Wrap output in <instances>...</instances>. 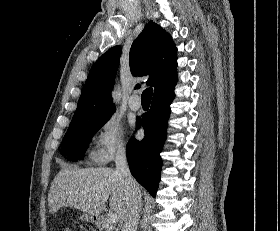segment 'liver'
<instances>
[{
	"label": "liver",
	"instance_id": "6515ba94",
	"mask_svg": "<svg viewBox=\"0 0 280 231\" xmlns=\"http://www.w3.org/2000/svg\"><path fill=\"white\" fill-rule=\"evenodd\" d=\"M109 199L111 211L126 221L131 209L133 189L111 167L64 165L55 175L48 193L50 213L70 205L91 217H100Z\"/></svg>",
	"mask_w": 280,
	"mask_h": 231
}]
</instances>
